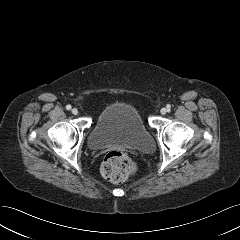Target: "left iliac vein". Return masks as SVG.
<instances>
[{"label":"left iliac vein","mask_w":240,"mask_h":240,"mask_svg":"<svg viewBox=\"0 0 240 240\" xmlns=\"http://www.w3.org/2000/svg\"><path fill=\"white\" fill-rule=\"evenodd\" d=\"M160 113L163 114V115L166 114L167 113V109L164 108V107L161 108Z\"/></svg>","instance_id":"1"}]
</instances>
